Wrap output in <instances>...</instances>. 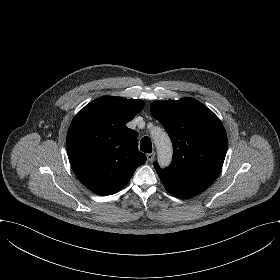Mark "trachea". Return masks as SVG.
<instances>
[{"label": "trachea", "mask_w": 280, "mask_h": 280, "mask_svg": "<svg viewBox=\"0 0 280 280\" xmlns=\"http://www.w3.org/2000/svg\"><path fill=\"white\" fill-rule=\"evenodd\" d=\"M140 149L142 152L151 153L152 143L149 137H143L140 142Z\"/></svg>", "instance_id": "obj_1"}]
</instances>
